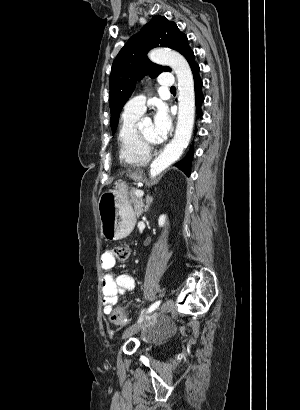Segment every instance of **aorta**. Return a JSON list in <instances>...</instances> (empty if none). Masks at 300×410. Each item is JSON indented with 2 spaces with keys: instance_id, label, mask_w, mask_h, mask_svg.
<instances>
[{
  "instance_id": "obj_1",
  "label": "aorta",
  "mask_w": 300,
  "mask_h": 410,
  "mask_svg": "<svg viewBox=\"0 0 300 410\" xmlns=\"http://www.w3.org/2000/svg\"><path fill=\"white\" fill-rule=\"evenodd\" d=\"M148 56L152 62L172 68L177 77L179 90V111L175 135L150 165V176L154 178L177 161L190 142L195 117V91L190 66L180 53L157 48L150 51Z\"/></svg>"
}]
</instances>
